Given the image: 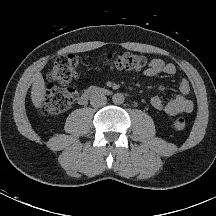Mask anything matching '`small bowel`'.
Segmentation results:
<instances>
[{
  "label": "small bowel",
  "instance_id": "c3829d8e",
  "mask_svg": "<svg viewBox=\"0 0 216 216\" xmlns=\"http://www.w3.org/2000/svg\"><path fill=\"white\" fill-rule=\"evenodd\" d=\"M176 73V67L174 64L165 62L162 59L154 58L150 61L149 66L145 69L144 74L148 77H154L158 75L173 76ZM177 89L179 94L169 101H164L159 96H154L150 103L151 106L160 112H164L168 115L175 116L182 113H190L193 111V101L188 97L190 93V84L182 78L177 83Z\"/></svg>",
  "mask_w": 216,
  "mask_h": 216
}]
</instances>
